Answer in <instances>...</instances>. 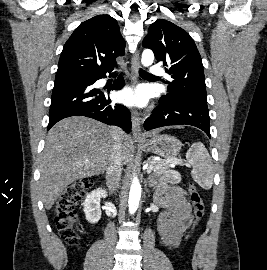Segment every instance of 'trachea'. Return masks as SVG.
Wrapping results in <instances>:
<instances>
[{"label": "trachea", "instance_id": "obj_1", "mask_svg": "<svg viewBox=\"0 0 267 270\" xmlns=\"http://www.w3.org/2000/svg\"><path fill=\"white\" fill-rule=\"evenodd\" d=\"M139 73H140V75L153 76V75L149 74L148 72L144 71L143 69H140Z\"/></svg>", "mask_w": 267, "mask_h": 270}]
</instances>
